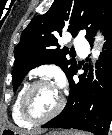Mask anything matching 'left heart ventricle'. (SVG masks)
I'll return each instance as SVG.
<instances>
[{
    "mask_svg": "<svg viewBox=\"0 0 112 135\" xmlns=\"http://www.w3.org/2000/svg\"><path fill=\"white\" fill-rule=\"evenodd\" d=\"M60 93L54 85H41L30 96V107L37 115L51 113L59 104Z\"/></svg>",
    "mask_w": 112,
    "mask_h": 135,
    "instance_id": "obj_1",
    "label": "left heart ventricle"
}]
</instances>
